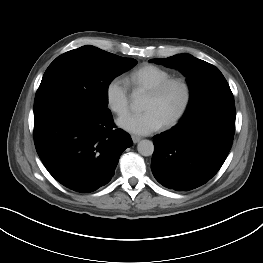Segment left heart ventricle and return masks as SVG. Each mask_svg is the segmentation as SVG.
I'll return each instance as SVG.
<instances>
[{"label": "left heart ventricle", "instance_id": "left-heart-ventricle-1", "mask_svg": "<svg viewBox=\"0 0 263 263\" xmlns=\"http://www.w3.org/2000/svg\"><path fill=\"white\" fill-rule=\"evenodd\" d=\"M183 100V90L180 86L174 85L167 92L159 97L146 95L143 110L152 109L156 111L164 122H166L180 107Z\"/></svg>", "mask_w": 263, "mask_h": 263}]
</instances>
